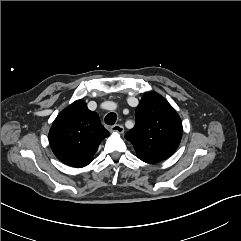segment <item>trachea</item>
I'll list each match as a JSON object with an SVG mask.
<instances>
[{"label": "trachea", "mask_w": 241, "mask_h": 241, "mask_svg": "<svg viewBox=\"0 0 241 241\" xmlns=\"http://www.w3.org/2000/svg\"><path fill=\"white\" fill-rule=\"evenodd\" d=\"M117 120V115L115 113H109L105 117V123L108 125H113Z\"/></svg>", "instance_id": "1"}]
</instances>
